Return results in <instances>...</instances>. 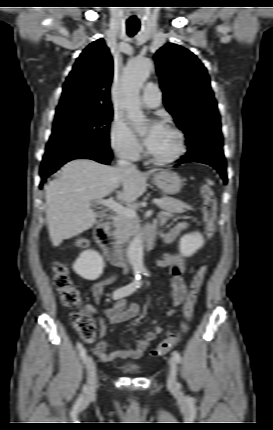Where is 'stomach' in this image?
<instances>
[{
  "label": "stomach",
  "mask_w": 273,
  "mask_h": 430,
  "mask_svg": "<svg viewBox=\"0 0 273 430\" xmlns=\"http://www.w3.org/2000/svg\"><path fill=\"white\" fill-rule=\"evenodd\" d=\"M153 181L159 189L170 195L177 194L183 186L181 177L172 171H160L154 175Z\"/></svg>",
  "instance_id": "stomach-1"
}]
</instances>
